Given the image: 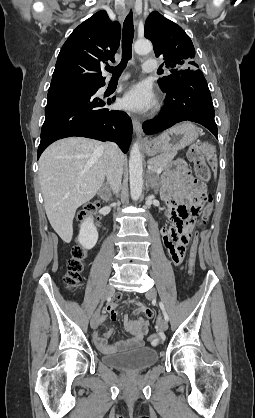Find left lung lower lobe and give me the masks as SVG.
<instances>
[{
  "label": "left lung lower lobe",
  "mask_w": 255,
  "mask_h": 418,
  "mask_svg": "<svg viewBox=\"0 0 255 418\" xmlns=\"http://www.w3.org/2000/svg\"><path fill=\"white\" fill-rule=\"evenodd\" d=\"M182 121L197 122L218 138L211 94L201 70L186 73L172 83L166 91L163 112L145 122L143 130L151 135Z\"/></svg>",
  "instance_id": "0a47b994"
}]
</instances>
